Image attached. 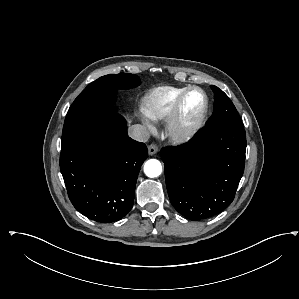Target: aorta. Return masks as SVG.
<instances>
[{
  "label": "aorta",
  "mask_w": 299,
  "mask_h": 299,
  "mask_svg": "<svg viewBox=\"0 0 299 299\" xmlns=\"http://www.w3.org/2000/svg\"><path fill=\"white\" fill-rule=\"evenodd\" d=\"M144 173L147 177L155 178L161 175L162 165L157 159H149L144 164Z\"/></svg>",
  "instance_id": "1"
}]
</instances>
